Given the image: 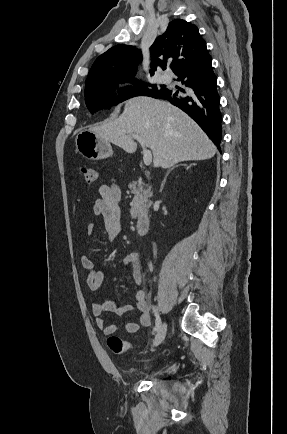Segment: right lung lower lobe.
Segmentation results:
<instances>
[{
  "label": "right lung lower lobe",
  "mask_w": 287,
  "mask_h": 434,
  "mask_svg": "<svg viewBox=\"0 0 287 434\" xmlns=\"http://www.w3.org/2000/svg\"><path fill=\"white\" fill-rule=\"evenodd\" d=\"M184 88L176 91L161 88L148 96L165 99L186 112L206 132L220 150L222 116L217 77L212 69V59L204 52L177 74Z\"/></svg>",
  "instance_id": "right-lung-lower-lobe-1"
}]
</instances>
